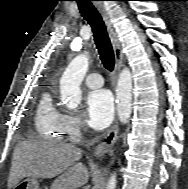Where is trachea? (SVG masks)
<instances>
[{
    "instance_id": "obj_1",
    "label": "trachea",
    "mask_w": 188,
    "mask_h": 189,
    "mask_svg": "<svg viewBox=\"0 0 188 189\" xmlns=\"http://www.w3.org/2000/svg\"><path fill=\"white\" fill-rule=\"evenodd\" d=\"M76 1L80 13L92 28L94 41L98 49L102 64L107 70L112 71L115 66V56L106 30V26L102 20L101 15L92 4V0Z\"/></svg>"
}]
</instances>
